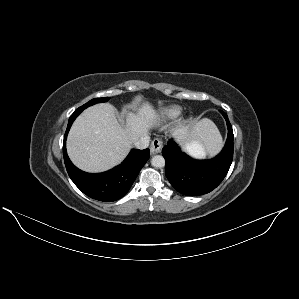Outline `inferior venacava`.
<instances>
[{"mask_svg":"<svg viewBox=\"0 0 299 299\" xmlns=\"http://www.w3.org/2000/svg\"><path fill=\"white\" fill-rule=\"evenodd\" d=\"M149 142H150V137L148 135H144L141 138L135 140L133 142V145L137 149H145L149 146Z\"/></svg>","mask_w":299,"mask_h":299,"instance_id":"602c4592","label":"inferior vena cava"}]
</instances>
